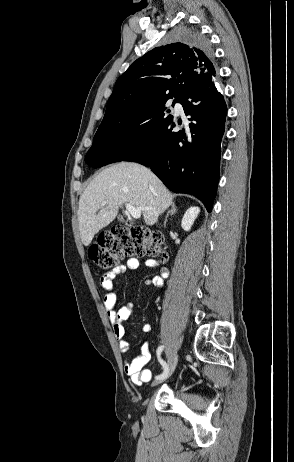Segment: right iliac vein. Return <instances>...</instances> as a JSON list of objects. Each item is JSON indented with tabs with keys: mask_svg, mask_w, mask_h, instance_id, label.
I'll list each match as a JSON object with an SVG mask.
<instances>
[{
	"mask_svg": "<svg viewBox=\"0 0 294 462\" xmlns=\"http://www.w3.org/2000/svg\"><path fill=\"white\" fill-rule=\"evenodd\" d=\"M177 362H178V354L177 352H174L168 359V372H167V376L166 378L164 379H155L153 382H152V386H156L158 385L159 383L163 382L164 380H166L168 377H170L173 372L175 371V368L177 366Z\"/></svg>",
	"mask_w": 294,
	"mask_h": 462,
	"instance_id": "obj_1",
	"label": "right iliac vein"
}]
</instances>
